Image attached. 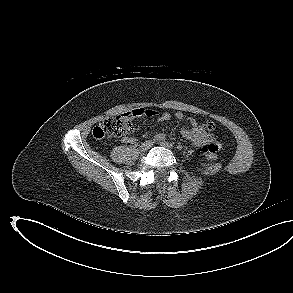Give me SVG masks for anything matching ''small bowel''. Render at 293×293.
<instances>
[{"label":"small bowel","instance_id":"c3829d8e","mask_svg":"<svg viewBox=\"0 0 293 293\" xmlns=\"http://www.w3.org/2000/svg\"><path fill=\"white\" fill-rule=\"evenodd\" d=\"M157 113L153 110H146L143 108H137L124 114V117L132 119L140 116L153 117ZM176 119L183 120L184 115L181 112L175 114ZM171 119V114L169 112H163L158 116L160 122L168 121ZM188 122L190 128H183L182 135L191 142L193 146L198 148L200 151L209 150L217 152L220 149V143L216 140L215 136L212 134L214 129V124L210 121L205 124H199L195 119L189 118ZM122 141L127 144H135L137 139L131 136H124Z\"/></svg>","mask_w":293,"mask_h":293}]
</instances>
